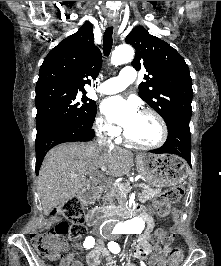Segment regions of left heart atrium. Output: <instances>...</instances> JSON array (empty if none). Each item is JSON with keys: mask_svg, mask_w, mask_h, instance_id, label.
<instances>
[{"mask_svg": "<svg viewBox=\"0 0 221 266\" xmlns=\"http://www.w3.org/2000/svg\"><path fill=\"white\" fill-rule=\"evenodd\" d=\"M102 110L109 120L119 123L125 129L140 115L138 105L133 99H124L120 96L108 98L103 103Z\"/></svg>", "mask_w": 221, "mask_h": 266, "instance_id": "39dd6f15", "label": "left heart atrium"}]
</instances>
